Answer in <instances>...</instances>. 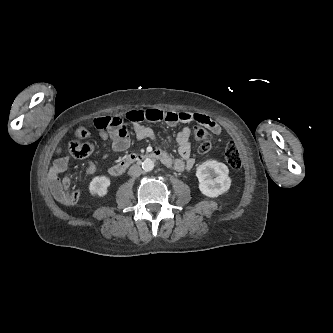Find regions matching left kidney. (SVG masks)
Returning a JSON list of instances; mask_svg holds the SVG:
<instances>
[{
    "label": "left kidney",
    "mask_w": 333,
    "mask_h": 333,
    "mask_svg": "<svg viewBox=\"0 0 333 333\" xmlns=\"http://www.w3.org/2000/svg\"><path fill=\"white\" fill-rule=\"evenodd\" d=\"M228 167L216 160H209L197 167L199 190L208 197H217L227 192L231 185ZM215 177V178H213Z\"/></svg>",
    "instance_id": "obj_1"
}]
</instances>
